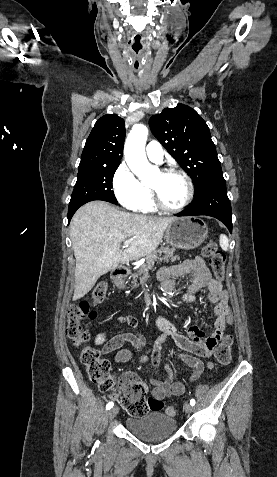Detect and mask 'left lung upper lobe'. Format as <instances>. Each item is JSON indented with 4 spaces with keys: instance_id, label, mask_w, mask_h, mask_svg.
<instances>
[{
    "instance_id": "obj_1",
    "label": "left lung upper lobe",
    "mask_w": 277,
    "mask_h": 477,
    "mask_svg": "<svg viewBox=\"0 0 277 477\" xmlns=\"http://www.w3.org/2000/svg\"><path fill=\"white\" fill-rule=\"evenodd\" d=\"M149 124L154 136L190 175L196 192L208 177L222 172L209 128L191 107L165 108Z\"/></svg>"
}]
</instances>
